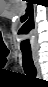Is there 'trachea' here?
Instances as JSON below:
<instances>
[{"label":"trachea","instance_id":"trachea-1","mask_svg":"<svg viewBox=\"0 0 48 87\" xmlns=\"http://www.w3.org/2000/svg\"><path fill=\"white\" fill-rule=\"evenodd\" d=\"M21 51H22L23 68L25 73L30 77H35L36 68L33 62L31 51L23 50V49H21Z\"/></svg>","mask_w":48,"mask_h":87}]
</instances>
